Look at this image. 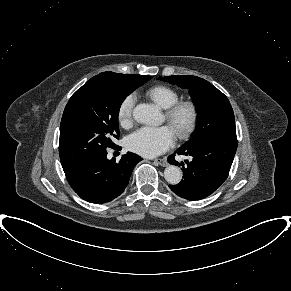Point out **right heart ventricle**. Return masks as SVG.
Returning a JSON list of instances; mask_svg holds the SVG:
<instances>
[{
    "label": "right heart ventricle",
    "mask_w": 291,
    "mask_h": 291,
    "mask_svg": "<svg viewBox=\"0 0 291 291\" xmlns=\"http://www.w3.org/2000/svg\"><path fill=\"white\" fill-rule=\"evenodd\" d=\"M146 96L162 109H168L179 101V93L172 87L156 85L146 91Z\"/></svg>",
    "instance_id": "obj_1"
}]
</instances>
